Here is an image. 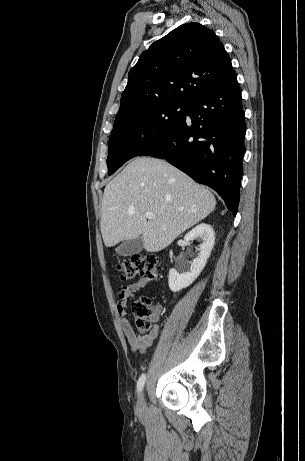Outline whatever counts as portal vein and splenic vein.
<instances>
[{
	"mask_svg": "<svg viewBox=\"0 0 305 461\" xmlns=\"http://www.w3.org/2000/svg\"><path fill=\"white\" fill-rule=\"evenodd\" d=\"M145 216H146L147 219H152V218H153V213L147 212V213L145 214Z\"/></svg>",
	"mask_w": 305,
	"mask_h": 461,
	"instance_id": "18ae733b",
	"label": "portal vein and splenic vein"
}]
</instances>
